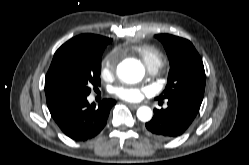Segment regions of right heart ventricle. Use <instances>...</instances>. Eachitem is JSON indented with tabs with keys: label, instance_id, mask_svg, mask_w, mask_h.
Here are the masks:
<instances>
[{
	"label": "right heart ventricle",
	"instance_id": "right-heart-ventricle-1",
	"mask_svg": "<svg viewBox=\"0 0 249 165\" xmlns=\"http://www.w3.org/2000/svg\"><path fill=\"white\" fill-rule=\"evenodd\" d=\"M131 51L135 53L147 68L158 70L165 61L164 54L155 46L148 44H139L131 47Z\"/></svg>",
	"mask_w": 249,
	"mask_h": 165
}]
</instances>
